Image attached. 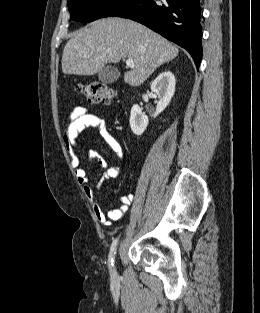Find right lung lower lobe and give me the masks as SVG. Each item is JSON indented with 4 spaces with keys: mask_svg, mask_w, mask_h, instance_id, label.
Segmentation results:
<instances>
[{
    "mask_svg": "<svg viewBox=\"0 0 260 313\" xmlns=\"http://www.w3.org/2000/svg\"><path fill=\"white\" fill-rule=\"evenodd\" d=\"M110 16L144 24L185 48L199 68L202 57L200 0H122L103 17Z\"/></svg>",
    "mask_w": 260,
    "mask_h": 313,
    "instance_id": "1",
    "label": "right lung lower lobe"
}]
</instances>
